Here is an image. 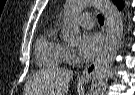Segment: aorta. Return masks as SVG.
<instances>
[{
  "instance_id": "1",
  "label": "aorta",
  "mask_w": 135,
  "mask_h": 95,
  "mask_svg": "<svg viewBox=\"0 0 135 95\" xmlns=\"http://www.w3.org/2000/svg\"><path fill=\"white\" fill-rule=\"evenodd\" d=\"M87 6L99 8L106 17L107 36L102 54L94 70L90 95H105L109 74L123 36V21L118 9L110 0H67L62 38L69 43L80 39V28L75 21L76 13Z\"/></svg>"
}]
</instances>
